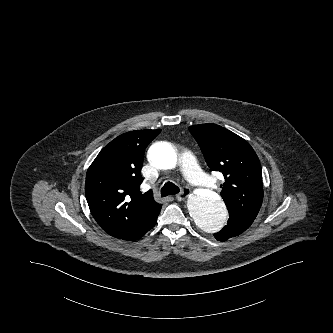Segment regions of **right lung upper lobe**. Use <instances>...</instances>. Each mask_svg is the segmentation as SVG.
Segmentation results:
<instances>
[{
  "label": "right lung upper lobe",
  "instance_id": "obj_1",
  "mask_svg": "<svg viewBox=\"0 0 333 333\" xmlns=\"http://www.w3.org/2000/svg\"><path fill=\"white\" fill-rule=\"evenodd\" d=\"M161 130L122 134L107 144L86 174L85 195L90 211L109 235L128 240L161 205L152 191L139 192L144 151Z\"/></svg>",
  "mask_w": 333,
  "mask_h": 333
}]
</instances>
